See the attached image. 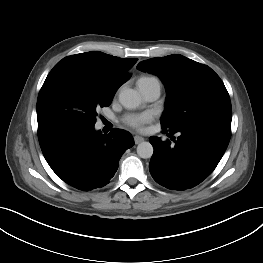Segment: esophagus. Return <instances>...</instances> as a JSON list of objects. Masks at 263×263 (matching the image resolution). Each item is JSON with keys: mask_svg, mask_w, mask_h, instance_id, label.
Wrapping results in <instances>:
<instances>
[{"mask_svg": "<svg viewBox=\"0 0 263 263\" xmlns=\"http://www.w3.org/2000/svg\"><path fill=\"white\" fill-rule=\"evenodd\" d=\"M134 141H135V144H139V143L144 141V138L142 136L135 135L134 136Z\"/></svg>", "mask_w": 263, "mask_h": 263, "instance_id": "esophagus-1", "label": "esophagus"}]
</instances>
